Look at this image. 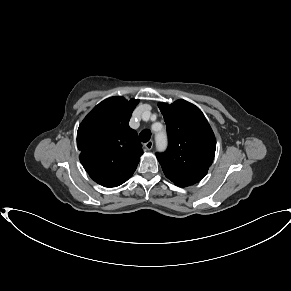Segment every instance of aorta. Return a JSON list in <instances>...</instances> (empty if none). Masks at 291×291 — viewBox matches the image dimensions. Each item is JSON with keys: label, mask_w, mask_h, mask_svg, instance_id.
<instances>
[{"label": "aorta", "mask_w": 291, "mask_h": 291, "mask_svg": "<svg viewBox=\"0 0 291 291\" xmlns=\"http://www.w3.org/2000/svg\"><path fill=\"white\" fill-rule=\"evenodd\" d=\"M167 138L166 134L162 131L156 134V146L159 151H162L166 148Z\"/></svg>", "instance_id": "obj_1"}]
</instances>
